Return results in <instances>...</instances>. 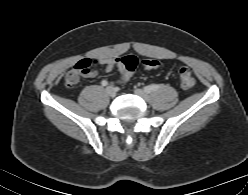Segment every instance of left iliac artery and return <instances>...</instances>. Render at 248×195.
Returning <instances> with one entry per match:
<instances>
[{
	"mask_svg": "<svg viewBox=\"0 0 248 195\" xmlns=\"http://www.w3.org/2000/svg\"><path fill=\"white\" fill-rule=\"evenodd\" d=\"M159 88H160V85L152 84V85L144 87V90L147 93H151V92L157 91Z\"/></svg>",
	"mask_w": 248,
	"mask_h": 195,
	"instance_id": "obj_1",
	"label": "left iliac artery"
}]
</instances>
